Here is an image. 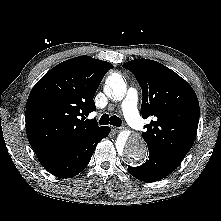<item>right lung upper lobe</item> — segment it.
<instances>
[{"instance_id": "right-lung-upper-lobe-1", "label": "right lung upper lobe", "mask_w": 221, "mask_h": 221, "mask_svg": "<svg viewBox=\"0 0 221 221\" xmlns=\"http://www.w3.org/2000/svg\"><path fill=\"white\" fill-rule=\"evenodd\" d=\"M111 63L79 56L47 72L33 87L26 105V133L38 159L48 157L101 131L94 95Z\"/></svg>"}]
</instances>
